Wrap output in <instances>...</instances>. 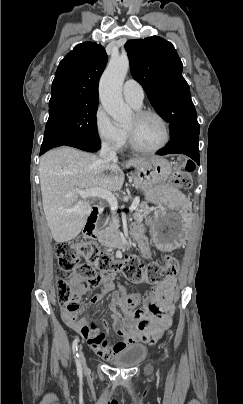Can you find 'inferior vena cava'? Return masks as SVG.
Here are the masks:
<instances>
[{
	"instance_id": "obj_1",
	"label": "inferior vena cava",
	"mask_w": 243,
	"mask_h": 404,
	"mask_svg": "<svg viewBox=\"0 0 243 404\" xmlns=\"http://www.w3.org/2000/svg\"><path fill=\"white\" fill-rule=\"evenodd\" d=\"M99 156L102 158V160H106V162L117 160L116 152H114L113 148H110V144H108V142H102V148Z\"/></svg>"
}]
</instances>
